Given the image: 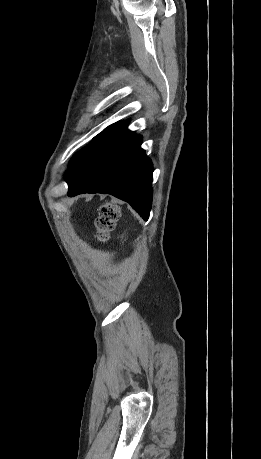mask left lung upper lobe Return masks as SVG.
<instances>
[{"instance_id":"1","label":"left lung upper lobe","mask_w":261,"mask_h":459,"mask_svg":"<svg viewBox=\"0 0 261 459\" xmlns=\"http://www.w3.org/2000/svg\"><path fill=\"white\" fill-rule=\"evenodd\" d=\"M126 122H117L108 126L100 134L95 136L89 145L78 151L69 161V170L66 171L68 179L86 160H88L95 151L100 148L109 138H111Z\"/></svg>"}]
</instances>
